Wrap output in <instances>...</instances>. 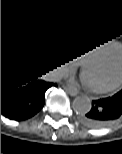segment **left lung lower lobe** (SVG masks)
<instances>
[{
	"mask_svg": "<svg viewBox=\"0 0 122 154\" xmlns=\"http://www.w3.org/2000/svg\"><path fill=\"white\" fill-rule=\"evenodd\" d=\"M122 115V90L112 97L92 101L91 110L81 117L83 125L102 128L112 124Z\"/></svg>",
	"mask_w": 122,
	"mask_h": 154,
	"instance_id": "1",
	"label": "left lung lower lobe"
}]
</instances>
